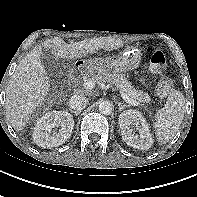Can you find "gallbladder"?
I'll list each match as a JSON object with an SVG mask.
<instances>
[{"label":"gallbladder","mask_w":197,"mask_h":197,"mask_svg":"<svg viewBox=\"0 0 197 197\" xmlns=\"http://www.w3.org/2000/svg\"><path fill=\"white\" fill-rule=\"evenodd\" d=\"M55 57L52 55V53L48 50H44L42 55H41V61L46 69V71L49 73V75L53 76L54 71L52 69V64L54 63Z\"/></svg>","instance_id":"obj_1"}]
</instances>
